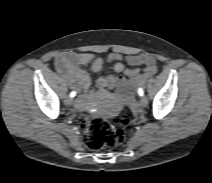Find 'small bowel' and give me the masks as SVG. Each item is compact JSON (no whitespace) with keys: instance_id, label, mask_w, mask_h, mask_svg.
I'll list each match as a JSON object with an SVG mask.
<instances>
[{"instance_id":"c3829d8e","label":"small bowel","mask_w":212,"mask_h":183,"mask_svg":"<svg viewBox=\"0 0 212 183\" xmlns=\"http://www.w3.org/2000/svg\"><path fill=\"white\" fill-rule=\"evenodd\" d=\"M124 61L135 68H125ZM106 62L113 64L112 71L98 78V88L113 89L126 95H131L147 77L157 70L155 57L148 53L128 55L126 57L119 53H111L106 59L91 53H61L55 60L58 72L72 88L85 92L77 100L76 105L78 108H84L92 96L91 77L89 73L82 69V66L90 64L91 71L98 73Z\"/></svg>"}]
</instances>
